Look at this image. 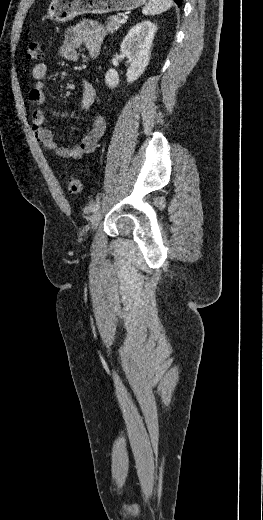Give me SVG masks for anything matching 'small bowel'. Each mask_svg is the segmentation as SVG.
I'll return each instance as SVG.
<instances>
[{
  "label": "small bowel",
  "instance_id": "1",
  "mask_svg": "<svg viewBox=\"0 0 263 520\" xmlns=\"http://www.w3.org/2000/svg\"><path fill=\"white\" fill-rule=\"evenodd\" d=\"M104 37L102 26L95 21H82L77 25L66 29L62 37V43L58 48V55L68 61L78 59V49L84 47L91 57H97L100 52ZM47 65L38 63L32 69L35 80L33 88L29 92V100L32 104L40 106L46 100ZM83 94L80 105L82 109H89L95 99V89L87 80H82ZM32 129L41 146L49 152L71 160H77L91 153L97 146L99 139L105 131V120L96 116L83 139L72 146H62L56 143L53 132L45 127V113L41 108L33 110L31 115Z\"/></svg>",
  "mask_w": 263,
  "mask_h": 520
}]
</instances>
